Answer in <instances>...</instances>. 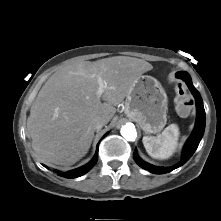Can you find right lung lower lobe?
<instances>
[{"label":"right lung lower lobe","mask_w":221,"mask_h":221,"mask_svg":"<svg viewBox=\"0 0 221 221\" xmlns=\"http://www.w3.org/2000/svg\"><path fill=\"white\" fill-rule=\"evenodd\" d=\"M97 160H98V148H97L94 158L89 163L77 169L70 170L66 173H62L61 175L65 178H76V177L82 176L85 173H87L96 164Z\"/></svg>","instance_id":"obj_1"}]
</instances>
